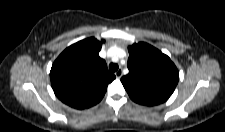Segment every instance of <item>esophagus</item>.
I'll list each match as a JSON object with an SVG mask.
<instances>
[{
    "instance_id": "34e87169",
    "label": "esophagus",
    "mask_w": 225,
    "mask_h": 132,
    "mask_svg": "<svg viewBox=\"0 0 225 132\" xmlns=\"http://www.w3.org/2000/svg\"><path fill=\"white\" fill-rule=\"evenodd\" d=\"M115 76H116V78H121V76H122V70L121 69H118L116 72H115Z\"/></svg>"
}]
</instances>
